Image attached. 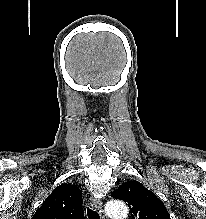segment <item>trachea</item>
<instances>
[{
	"label": "trachea",
	"mask_w": 206,
	"mask_h": 219,
	"mask_svg": "<svg viewBox=\"0 0 206 219\" xmlns=\"http://www.w3.org/2000/svg\"><path fill=\"white\" fill-rule=\"evenodd\" d=\"M87 216L88 219H100L99 214L91 208H87Z\"/></svg>",
	"instance_id": "trachea-1"
}]
</instances>
